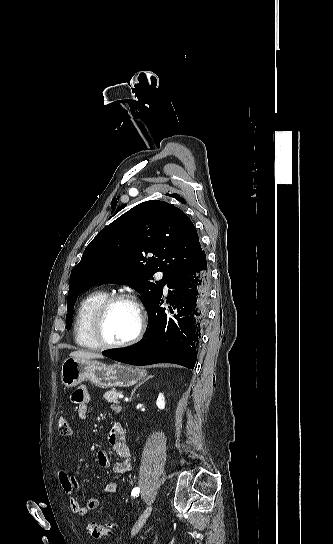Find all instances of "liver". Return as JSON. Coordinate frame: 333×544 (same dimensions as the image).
Instances as JSON below:
<instances>
[{"label": "liver", "mask_w": 333, "mask_h": 544, "mask_svg": "<svg viewBox=\"0 0 333 544\" xmlns=\"http://www.w3.org/2000/svg\"><path fill=\"white\" fill-rule=\"evenodd\" d=\"M69 356L71 358L84 359V360L103 358L101 354L84 351V350H77V351L71 352Z\"/></svg>", "instance_id": "liver-1"}]
</instances>
